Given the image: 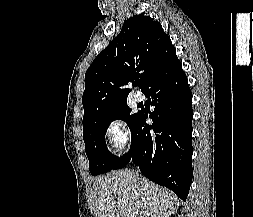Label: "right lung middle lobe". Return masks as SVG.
Listing matches in <instances>:
<instances>
[{"mask_svg":"<svg viewBox=\"0 0 253 217\" xmlns=\"http://www.w3.org/2000/svg\"><path fill=\"white\" fill-rule=\"evenodd\" d=\"M139 113L140 111L132 113L127 102H124L83 123V139L92 175L112 170L118 161V157L109 152L105 143L108 125L112 121L120 119L125 121L131 129Z\"/></svg>","mask_w":253,"mask_h":217,"instance_id":"dd1d6c3e","label":"right lung middle lobe"}]
</instances>
